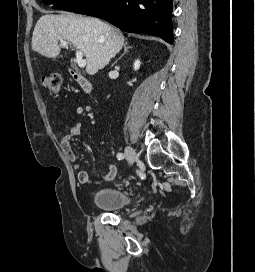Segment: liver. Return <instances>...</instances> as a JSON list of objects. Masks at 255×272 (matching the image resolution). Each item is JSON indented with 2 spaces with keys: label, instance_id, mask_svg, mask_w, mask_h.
<instances>
[{
  "label": "liver",
  "instance_id": "6515ba94",
  "mask_svg": "<svg viewBox=\"0 0 255 272\" xmlns=\"http://www.w3.org/2000/svg\"><path fill=\"white\" fill-rule=\"evenodd\" d=\"M59 40L79 49L87 60L86 72L94 75L115 57L125 39L119 29L97 18L75 14L42 16L33 31L32 50L56 58L61 51Z\"/></svg>",
  "mask_w": 255,
  "mask_h": 272
}]
</instances>
